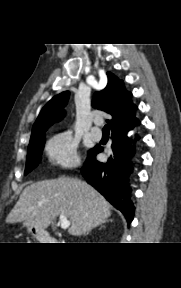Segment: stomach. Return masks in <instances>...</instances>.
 Here are the masks:
<instances>
[{"label": "stomach", "instance_id": "0dacf381", "mask_svg": "<svg viewBox=\"0 0 181 288\" xmlns=\"http://www.w3.org/2000/svg\"><path fill=\"white\" fill-rule=\"evenodd\" d=\"M28 230L36 237V239H38L39 241H44V237L46 236L44 232H38L33 228H29Z\"/></svg>", "mask_w": 181, "mask_h": 288}]
</instances>
